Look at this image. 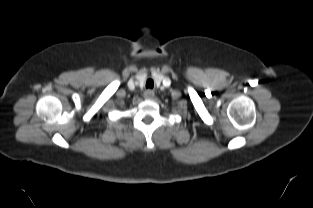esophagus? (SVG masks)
<instances>
[{
    "label": "esophagus",
    "instance_id": "obj_1",
    "mask_svg": "<svg viewBox=\"0 0 313 208\" xmlns=\"http://www.w3.org/2000/svg\"><path fill=\"white\" fill-rule=\"evenodd\" d=\"M144 98L148 99V100L153 99L154 98V92L150 89L146 90L144 92Z\"/></svg>",
    "mask_w": 313,
    "mask_h": 208
}]
</instances>
